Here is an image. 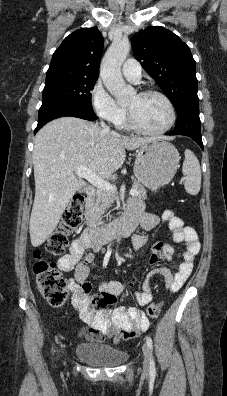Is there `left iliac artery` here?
<instances>
[{
  "label": "left iliac artery",
  "instance_id": "1",
  "mask_svg": "<svg viewBox=\"0 0 227 396\" xmlns=\"http://www.w3.org/2000/svg\"><path fill=\"white\" fill-rule=\"evenodd\" d=\"M146 343H147L149 349L151 350L150 372L152 374H154L156 369H155V362H154V359H153V356H152L153 342H152L151 337H149V336L146 337Z\"/></svg>",
  "mask_w": 227,
  "mask_h": 396
}]
</instances>
